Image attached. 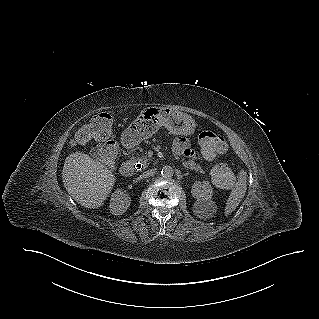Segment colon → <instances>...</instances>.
<instances>
[{
  "label": "colon",
  "instance_id": "colon-1",
  "mask_svg": "<svg viewBox=\"0 0 319 319\" xmlns=\"http://www.w3.org/2000/svg\"><path fill=\"white\" fill-rule=\"evenodd\" d=\"M116 131L110 124L108 114L102 113L94 116L93 120L84 126L73 139L74 145H81L89 140L99 142L93 155L104 164L110 166L117 158ZM202 153L205 158L213 160L225 150V143L221 136L212 132L204 131L199 136ZM213 179L221 186H232L234 183L233 173L223 164L214 165L212 170Z\"/></svg>",
  "mask_w": 319,
  "mask_h": 319
}]
</instances>
